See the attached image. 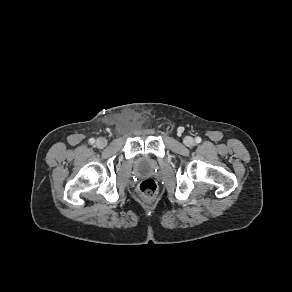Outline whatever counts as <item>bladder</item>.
<instances>
[{"instance_id":"1","label":"bladder","mask_w":292,"mask_h":292,"mask_svg":"<svg viewBox=\"0 0 292 292\" xmlns=\"http://www.w3.org/2000/svg\"><path fill=\"white\" fill-rule=\"evenodd\" d=\"M134 166L139 173H148L156 168V162L146 155L135 159Z\"/></svg>"}]
</instances>
